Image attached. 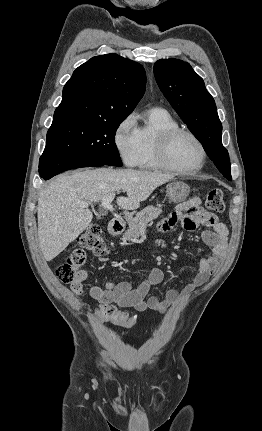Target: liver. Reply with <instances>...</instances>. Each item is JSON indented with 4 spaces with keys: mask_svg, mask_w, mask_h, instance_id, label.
Wrapping results in <instances>:
<instances>
[{
    "mask_svg": "<svg viewBox=\"0 0 262 431\" xmlns=\"http://www.w3.org/2000/svg\"><path fill=\"white\" fill-rule=\"evenodd\" d=\"M173 178L170 174L134 169H85L57 176L39 194L38 238L46 261H51L91 223L93 215L81 202H99L123 191L117 205L135 210L151 193Z\"/></svg>",
    "mask_w": 262,
    "mask_h": 431,
    "instance_id": "1",
    "label": "liver"
}]
</instances>
